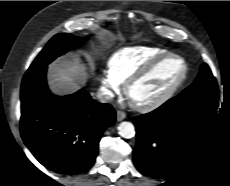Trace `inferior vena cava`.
Listing matches in <instances>:
<instances>
[{"instance_id":"inferior-vena-cava-1","label":"inferior vena cava","mask_w":230,"mask_h":186,"mask_svg":"<svg viewBox=\"0 0 230 186\" xmlns=\"http://www.w3.org/2000/svg\"><path fill=\"white\" fill-rule=\"evenodd\" d=\"M113 97H114L113 92H111L110 90H108L106 88L99 89V91L97 92V98L102 103L111 101L113 99Z\"/></svg>"}]
</instances>
